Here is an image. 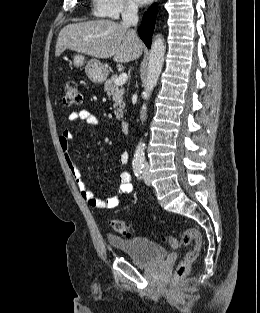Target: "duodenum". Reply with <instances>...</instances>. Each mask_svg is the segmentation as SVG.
Listing matches in <instances>:
<instances>
[{
    "mask_svg": "<svg viewBox=\"0 0 260 313\" xmlns=\"http://www.w3.org/2000/svg\"><path fill=\"white\" fill-rule=\"evenodd\" d=\"M121 125H122L123 132L124 133H128L129 132V123H128V121H123Z\"/></svg>",
    "mask_w": 260,
    "mask_h": 313,
    "instance_id": "obj_1",
    "label": "duodenum"
}]
</instances>
